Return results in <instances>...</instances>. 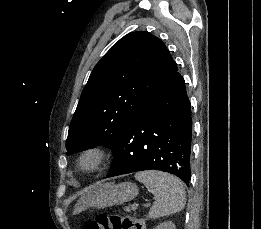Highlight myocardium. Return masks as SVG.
I'll list each match as a JSON object with an SVG mask.
<instances>
[{"mask_svg":"<svg viewBox=\"0 0 261 229\" xmlns=\"http://www.w3.org/2000/svg\"><path fill=\"white\" fill-rule=\"evenodd\" d=\"M106 149L98 144L83 148L76 160V166L85 173H92L100 169L107 159Z\"/></svg>","mask_w":261,"mask_h":229,"instance_id":"f54148a6","label":"myocardium"}]
</instances>
